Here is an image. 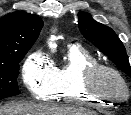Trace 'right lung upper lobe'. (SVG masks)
I'll return each instance as SVG.
<instances>
[{"label":"right lung upper lobe","mask_w":131,"mask_h":115,"mask_svg":"<svg viewBox=\"0 0 131 115\" xmlns=\"http://www.w3.org/2000/svg\"><path fill=\"white\" fill-rule=\"evenodd\" d=\"M42 26L40 17L23 11L0 18V62L8 61L14 53L30 49Z\"/></svg>","instance_id":"right-lung-upper-lobe-1"}]
</instances>
